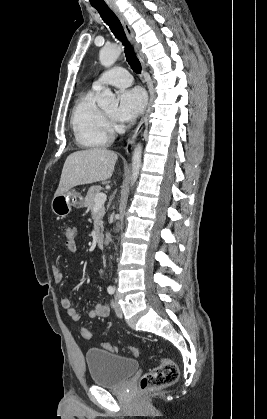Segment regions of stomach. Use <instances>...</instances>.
<instances>
[{
	"label": "stomach",
	"mask_w": 267,
	"mask_h": 419,
	"mask_svg": "<svg viewBox=\"0 0 267 419\" xmlns=\"http://www.w3.org/2000/svg\"><path fill=\"white\" fill-rule=\"evenodd\" d=\"M83 206V196L74 189L64 194L55 195L51 201L52 212L59 217L67 216L71 212L72 207L81 208Z\"/></svg>",
	"instance_id": "stomach-1"
}]
</instances>
